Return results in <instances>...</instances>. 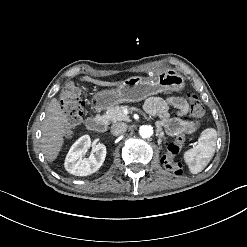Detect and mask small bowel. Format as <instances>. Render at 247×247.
Listing matches in <instances>:
<instances>
[{"label":"small bowel","mask_w":247,"mask_h":247,"mask_svg":"<svg viewBox=\"0 0 247 247\" xmlns=\"http://www.w3.org/2000/svg\"><path fill=\"white\" fill-rule=\"evenodd\" d=\"M169 106L177 109V118L169 120L168 132L177 133L178 131L191 133L197 127L195 123H183L181 118L186 116L189 111V105L187 101L181 97H149L145 101V109L150 116H158L164 120L169 119ZM172 125H176V128H172Z\"/></svg>","instance_id":"c3829d8e"}]
</instances>
